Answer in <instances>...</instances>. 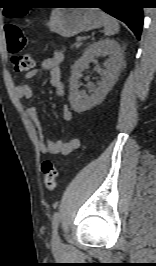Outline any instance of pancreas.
Wrapping results in <instances>:
<instances>
[{"label":"pancreas","mask_w":156,"mask_h":266,"mask_svg":"<svg viewBox=\"0 0 156 266\" xmlns=\"http://www.w3.org/2000/svg\"><path fill=\"white\" fill-rule=\"evenodd\" d=\"M74 46H75V47H79V46H80V43L77 42V43L74 44Z\"/></svg>","instance_id":"1"}]
</instances>
